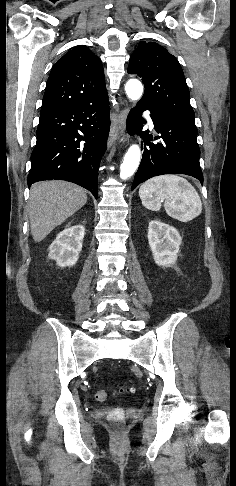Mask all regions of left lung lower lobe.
<instances>
[{
    "mask_svg": "<svg viewBox=\"0 0 236 486\" xmlns=\"http://www.w3.org/2000/svg\"><path fill=\"white\" fill-rule=\"evenodd\" d=\"M145 110L151 112L154 128L161 134L154 138L160 139L157 144L150 143L153 137H148V132H141L143 128L141 115ZM126 126L130 134H140L144 140L142 160L131 190L149 178L163 174H186L203 183L197 127L194 124L173 119L161 112L154 104L139 101L130 111Z\"/></svg>",
    "mask_w": 236,
    "mask_h": 486,
    "instance_id": "obj_1",
    "label": "left lung lower lobe"
}]
</instances>
